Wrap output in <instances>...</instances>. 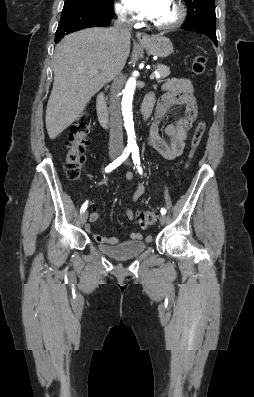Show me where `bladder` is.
<instances>
[{
	"label": "bladder",
	"mask_w": 254,
	"mask_h": 397,
	"mask_svg": "<svg viewBox=\"0 0 254 397\" xmlns=\"http://www.w3.org/2000/svg\"><path fill=\"white\" fill-rule=\"evenodd\" d=\"M98 249L105 255L114 259H129L136 257L143 253L146 249L145 242L138 241H128L120 243L118 245H99Z\"/></svg>",
	"instance_id": "31cf9c89"
}]
</instances>
